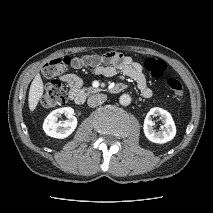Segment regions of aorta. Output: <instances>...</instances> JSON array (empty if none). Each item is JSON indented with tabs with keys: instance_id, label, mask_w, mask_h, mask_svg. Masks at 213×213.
I'll return each instance as SVG.
<instances>
[{
	"instance_id": "obj_1",
	"label": "aorta",
	"mask_w": 213,
	"mask_h": 213,
	"mask_svg": "<svg viewBox=\"0 0 213 213\" xmlns=\"http://www.w3.org/2000/svg\"><path fill=\"white\" fill-rule=\"evenodd\" d=\"M119 102L123 106H128L131 103V97L128 94H122L119 98Z\"/></svg>"
}]
</instances>
